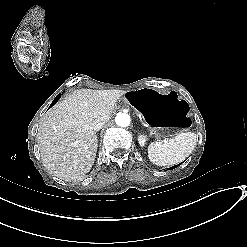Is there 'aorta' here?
Instances as JSON below:
<instances>
[{"mask_svg":"<svg viewBox=\"0 0 247 247\" xmlns=\"http://www.w3.org/2000/svg\"><path fill=\"white\" fill-rule=\"evenodd\" d=\"M115 122L120 127H127L130 125L131 119L129 114L119 112L115 117Z\"/></svg>","mask_w":247,"mask_h":247,"instance_id":"aorta-1","label":"aorta"}]
</instances>
